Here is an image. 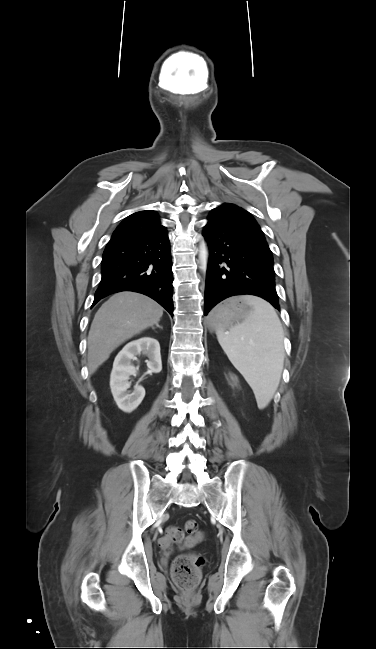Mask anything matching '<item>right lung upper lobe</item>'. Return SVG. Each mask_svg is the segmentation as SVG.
Here are the masks:
<instances>
[{
  "instance_id": "cb5924a9",
  "label": "right lung upper lobe",
  "mask_w": 376,
  "mask_h": 649,
  "mask_svg": "<svg viewBox=\"0 0 376 649\" xmlns=\"http://www.w3.org/2000/svg\"><path fill=\"white\" fill-rule=\"evenodd\" d=\"M163 228L155 211H139L121 222L107 245L151 234Z\"/></svg>"
}]
</instances>
